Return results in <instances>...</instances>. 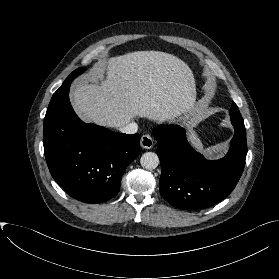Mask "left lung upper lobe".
Returning <instances> with one entry per match:
<instances>
[{
    "instance_id": "obj_1",
    "label": "left lung upper lobe",
    "mask_w": 279,
    "mask_h": 279,
    "mask_svg": "<svg viewBox=\"0 0 279 279\" xmlns=\"http://www.w3.org/2000/svg\"><path fill=\"white\" fill-rule=\"evenodd\" d=\"M229 113H230V116H231V122H235V123L244 125V121H243L242 116L239 112V109L234 102L232 103V106H231V109H230Z\"/></svg>"
}]
</instances>
